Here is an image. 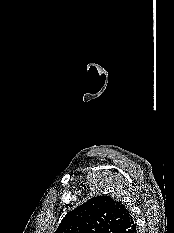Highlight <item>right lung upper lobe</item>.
<instances>
[{"mask_svg":"<svg viewBox=\"0 0 174 233\" xmlns=\"http://www.w3.org/2000/svg\"><path fill=\"white\" fill-rule=\"evenodd\" d=\"M55 233H137V229L122 203L100 195L70 211Z\"/></svg>","mask_w":174,"mask_h":233,"instance_id":"cb5924a9","label":"right lung upper lobe"}]
</instances>
